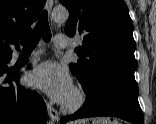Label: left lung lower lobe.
<instances>
[{
    "instance_id": "0a47b994",
    "label": "left lung lower lobe",
    "mask_w": 156,
    "mask_h": 124,
    "mask_svg": "<svg viewBox=\"0 0 156 124\" xmlns=\"http://www.w3.org/2000/svg\"><path fill=\"white\" fill-rule=\"evenodd\" d=\"M138 93V87L122 80L103 81L86 92L83 106L73 115L63 117L61 123L87 117L114 116L134 124H144Z\"/></svg>"
}]
</instances>
